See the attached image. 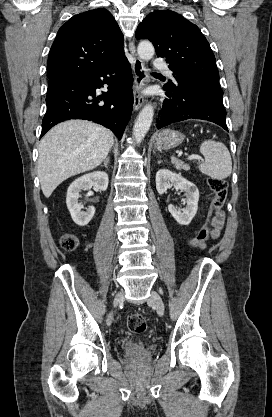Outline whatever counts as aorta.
Segmentation results:
<instances>
[{
    "instance_id": "762f6f07",
    "label": "aorta",
    "mask_w": 272,
    "mask_h": 417,
    "mask_svg": "<svg viewBox=\"0 0 272 417\" xmlns=\"http://www.w3.org/2000/svg\"><path fill=\"white\" fill-rule=\"evenodd\" d=\"M137 52L140 58L150 60L155 49L151 42L142 41L139 43ZM154 116V109L151 105H146L138 115V118L133 127V137L137 143H140L147 134Z\"/></svg>"
}]
</instances>
